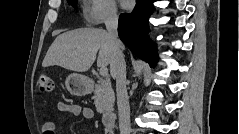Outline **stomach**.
Instances as JSON below:
<instances>
[{
    "mask_svg": "<svg viewBox=\"0 0 239 134\" xmlns=\"http://www.w3.org/2000/svg\"><path fill=\"white\" fill-rule=\"evenodd\" d=\"M67 90L76 96H83L90 90L89 80L86 76L73 73L65 81Z\"/></svg>",
    "mask_w": 239,
    "mask_h": 134,
    "instance_id": "1",
    "label": "stomach"
}]
</instances>
